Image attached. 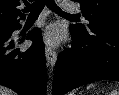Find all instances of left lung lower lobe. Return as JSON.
<instances>
[{"label": "left lung lower lobe", "instance_id": "1", "mask_svg": "<svg viewBox=\"0 0 119 95\" xmlns=\"http://www.w3.org/2000/svg\"><path fill=\"white\" fill-rule=\"evenodd\" d=\"M71 48L59 56L53 95H62L97 80L119 81V30L91 28L79 31L70 25Z\"/></svg>", "mask_w": 119, "mask_h": 95}]
</instances>
